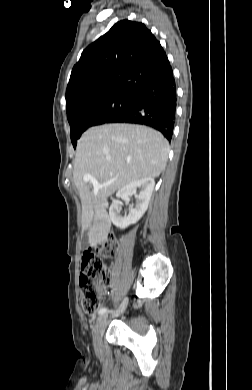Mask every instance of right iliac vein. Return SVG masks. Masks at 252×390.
Here are the masks:
<instances>
[{"mask_svg":"<svg viewBox=\"0 0 252 390\" xmlns=\"http://www.w3.org/2000/svg\"><path fill=\"white\" fill-rule=\"evenodd\" d=\"M127 304L128 298H125L121 306L114 313H112V317L122 313L126 309ZM107 319V314L100 315L92 329L93 343L95 349L97 350H100L102 348V333L105 326L107 325Z\"/></svg>","mask_w":252,"mask_h":390,"instance_id":"obj_1","label":"right iliac vein"}]
</instances>
